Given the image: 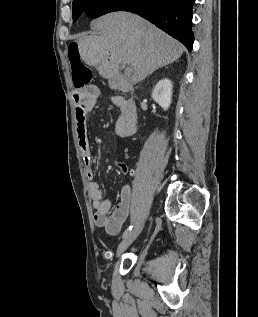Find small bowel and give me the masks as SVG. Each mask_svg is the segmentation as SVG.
<instances>
[{
	"instance_id": "small-bowel-1",
	"label": "small bowel",
	"mask_w": 258,
	"mask_h": 317,
	"mask_svg": "<svg viewBox=\"0 0 258 317\" xmlns=\"http://www.w3.org/2000/svg\"><path fill=\"white\" fill-rule=\"evenodd\" d=\"M87 98L75 110L76 132L79 147L86 166V174L89 179V195L94 208V223L98 228H102L111 236L117 235L123 224L129 219L133 211V192L129 185H125L120 194V203L112 210V203L103 198L99 183L94 181V171L92 168L93 156L92 147L88 137L87 119L89 113L95 107L99 90L90 86L86 88ZM113 104L120 109V116L115 124V133L119 137H128L136 130V107L134 103L120 96L112 100ZM118 169L123 173L133 174L124 162H117Z\"/></svg>"
}]
</instances>
